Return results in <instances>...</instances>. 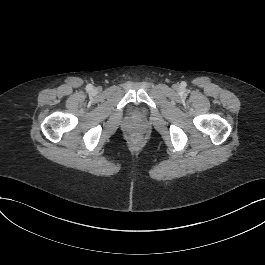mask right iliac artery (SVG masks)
I'll use <instances>...</instances> for the list:
<instances>
[{"instance_id":"right-iliac-artery-1","label":"right iliac artery","mask_w":265,"mask_h":265,"mask_svg":"<svg viewBox=\"0 0 265 265\" xmlns=\"http://www.w3.org/2000/svg\"><path fill=\"white\" fill-rule=\"evenodd\" d=\"M86 89H87L88 91H91V90L93 89V86H92L91 84H88V85L86 86Z\"/></svg>"}]
</instances>
